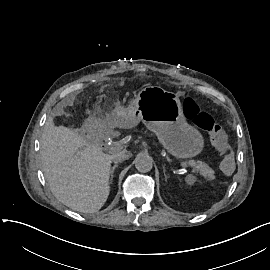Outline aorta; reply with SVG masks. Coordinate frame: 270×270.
Masks as SVG:
<instances>
[{"label":"aorta","mask_w":270,"mask_h":270,"mask_svg":"<svg viewBox=\"0 0 270 270\" xmlns=\"http://www.w3.org/2000/svg\"><path fill=\"white\" fill-rule=\"evenodd\" d=\"M152 166L153 159L147 155H138L135 159V167L140 172H148Z\"/></svg>","instance_id":"1"}]
</instances>
